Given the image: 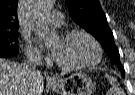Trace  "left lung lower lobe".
<instances>
[{
	"label": "left lung lower lobe",
	"instance_id": "left-lung-lower-lobe-1",
	"mask_svg": "<svg viewBox=\"0 0 135 95\" xmlns=\"http://www.w3.org/2000/svg\"><path fill=\"white\" fill-rule=\"evenodd\" d=\"M120 71H121L122 75L124 76V69L123 70H120Z\"/></svg>",
	"mask_w": 135,
	"mask_h": 95
}]
</instances>
